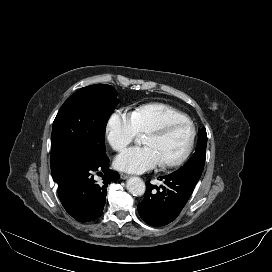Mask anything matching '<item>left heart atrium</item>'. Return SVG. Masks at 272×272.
<instances>
[{
	"label": "left heart atrium",
	"instance_id": "obj_1",
	"mask_svg": "<svg viewBox=\"0 0 272 272\" xmlns=\"http://www.w3.org/2000/svg\"><path fill=\"white\" fill-rule=\"evenodd\" d=\"M162 163L157 151L151 146H136L124 150L114 161L117 169L129 173H143Z\"/></svg>",
	"mask_w": 272,
	"mask_h": 272
}]
</instances>
